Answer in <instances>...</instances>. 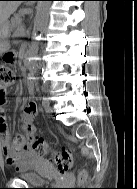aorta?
<instances>
[{
  "mask_svg": "<svg viewBox=\"0 0 137 189\" xmlns=\"http://www.w3.org/2000/svg\"><path fill=\"white\" fill-rule=\"evenodd\" d=\"M51 9V1H40L37 5V13L35 18V25H34V34L32 35V41H37L43 31L45 30L48 20H49V14ZM29 55L31 57H37L38 56V44L33 43ZM36 65H34L35 67ZM37 75V74H36Z\"/></svg>",
  "mask_w": 137,
  "mask_h": 189,
  "instance_id": "aorta-1",
  "label": "aorta"
}]
</instances>
